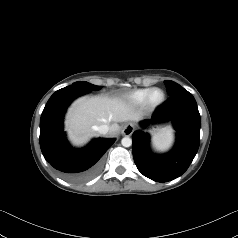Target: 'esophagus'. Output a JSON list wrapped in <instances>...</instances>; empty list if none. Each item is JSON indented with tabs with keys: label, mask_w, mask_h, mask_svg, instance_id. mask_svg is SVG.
<instances>
[{
	"label": "esophagus",
	"mask_w": 238,
	"mask_h": 238,
	"mask_svg": "<svg viewBox=\"0 0 238 238\" xmlns=\"http://www.w3.org/2000/svg\"><path fill=\"white\" fill-rule=\"evenodd\" d=\"M135 130V126L132 123H128L124 126L122 133L126 136L131 135Z\"/></svg>",
	"instance_id": "obj_1"
}]
</instances>
